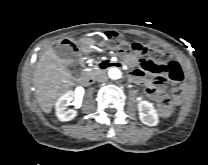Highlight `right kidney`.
Segmentation results:
<instances>
[{
	"mask_svg": "<svg viewBox=\"0 0 208 165\" xmlns=\"http://www.w3.org/2000/svg\"><path fill=\"white\" fill-rule=\"evenodd\" d=\"M84 95V89L82 87L76 88L74 91H68L62 95L55 104L56 116L60 121H69L76 117V110H67V107L71 101L76 108H80Z\"/></svg>",
	"mask_w": 208,
	"mask_h": 165,
	"instance_id": "1",
	"label": "right kidney"
}]
</instances>
